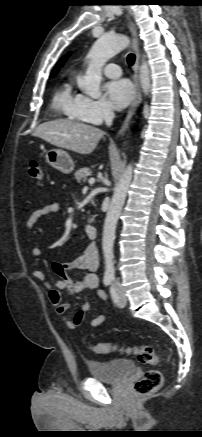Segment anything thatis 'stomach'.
Returning <instances> with one entry per match:
<instances>
[{"label": "stomach", "instance_id": "stomach-1", "mask_svg": "<svg viewBox=\"0 0 202 437\" xmlns=\"http://www.w3.org/2000/svg\"><path fill=\"white\" fill-rule=\"evenodd\" d=\"M44 158L50 166L64 174H70L74 170V162L64 150L50 149L46 151Z\"/></svg>", "mask_w": 202, "mask_h": 437}]
</instances>
